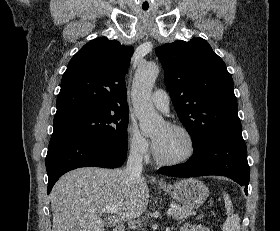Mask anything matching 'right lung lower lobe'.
<instances>
[{
    "instance_id": "1",
    "label": "right lung lower lobe",
    "mask_w": 280,
    "mask_h": 231,
    "mask_svg": "<svg viewBox=\"0 0 280 231\" xmlns=\"http://www.w3.org/2000/svg\"><path fill=\"white\" fill-rule=\"evenodd\" d=\"M127 155V144L101 142L74 134L52 135L46 156L47 194L66 172L79 167H120Z\"/></svg>"
}]
</instances>
